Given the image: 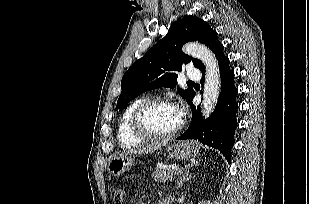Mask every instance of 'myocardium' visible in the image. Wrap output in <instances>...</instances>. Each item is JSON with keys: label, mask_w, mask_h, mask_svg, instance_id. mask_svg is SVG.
<instances>
[{"label": "myocardium", "mask_w": 309, "mask_h": 204, "mask_svg": "<svg viewBox=\"0 0 309 204\" xmlns=\"http://www.w3.org/2000/svg\"><path fill=\"white\" fill-rule=\"evenodd\" d=\"M157 105H168L177 108V105L168 98H151L141 102L132 113L130 128L132 132L142 140L157 141L169 139L178 134L184 125V119L183 116H181L179 124L170 132L165 134H155L150 132L143 124V116L150 108Z\"/></svg>", "instance_id": "myocardium-1"}]
</instances>
